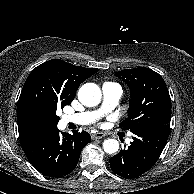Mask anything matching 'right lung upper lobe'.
Segmentation results:
<instances>
[{"mask_svg":"<svg viewBox=\"0 0 194 194\" xmlns=\"http://www.w3.org/2000/svg\"><path fill=\"white\" fill-rule=\"evenodd\" d=\"M98 71L97 68H84L52 59L37 66L29 74L17 104V124L19 138L27 134L51 127L38 118L31 110L27 94L36 84L42 83L61 94L74 99L80 84Z\"/></svg>","mask_w":194,"mask_h":194,"instance_id":"1","label":"right lung upper lobe"}]
</instances>
